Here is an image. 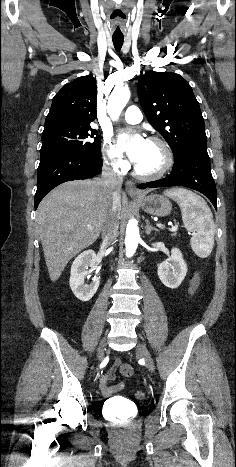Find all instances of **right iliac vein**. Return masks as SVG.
I'll list each match as a JSON object with an SVG mask.
<instances>
[{
	"label": "right iliac vein",
	"mask_w": 236,
	"mask_h": 467,
	"mask_svg": "<svg viewBox=\"0 0 236 467\" xmlns=\"http://www.w3.org/2000/svg\"><path fill=\"white\" fill-rule=\"evenodd\" d=\"M104 345H101V347L98 349V358L101 359L103 357V354H104Z\"/></svg>",
	"instance_id": "right-iliac-vein-1"
}]
</instances>
